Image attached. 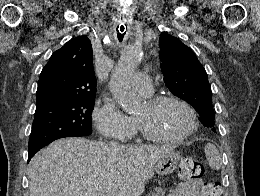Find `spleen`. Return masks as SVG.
<instances>
[{"label": "spleen", "instance_id": "obj_1", "mask_svg": "<svg viewBox=\"0 0 260 196\" xmlns=\"http://www.w3.org/2000/svg\"><path fill=\"white\" fill-rule=\"evenodd\" d=\"M205 156L207 158V162H209V166L211 170H220L222 166L220 154L214 146V144H206L205 146Z\"/></svg>", "mask_w": 260, "mask_h": 196}]
</instances>
